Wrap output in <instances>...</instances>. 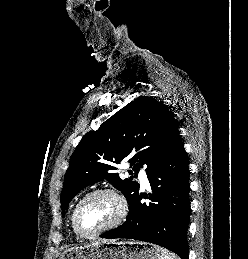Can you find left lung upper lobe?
Returning <instances> with one entry per match:
<instances>
[{
	"instance_id": "5c2ea615",
	"label": "left lung upper lobe",
	"mask_w": 248,
	"mask_h": 259,
	"mask_svg": "<svg viewBox=\"0 0 248 259\" xmlns=\"http://www.w3.org/2000/svg\"><path fill=\"white\" fill-rule=\"evenodd\" d=\"M181 142L176 119L166 105L147 96L130 102L98 130L85 134L73 152L61 192L62 216L81 189L104 179L121 190L130 204L139 184L132 177L122 180L115 164L127 160L135 177L142 166L148 174Z\"/></svg>"
}]
</instances>
